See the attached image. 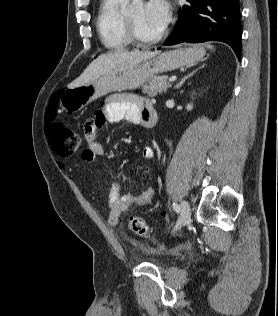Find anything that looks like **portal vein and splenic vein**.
<instances>
[{
    "mask_svg": "<svg viewBox=\"0 0 278 316\" xmlns=\"http://www.w3.org/2000/svg\"><path fill=\"white\" fill-rule=\"evenodd\" d=\"M176 79H177L176 76H172V77L169 79V82H174Z\"/></svg>",
    "mask_w": 278,
    "mask_h": 316,
    "instance_id": "portal-vein-and-splenic-vein-1",
    "label": "portal vein and splenic vein"
}]
</instances>
